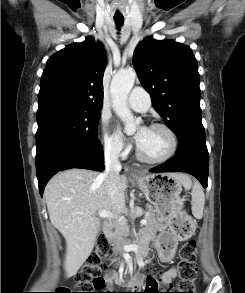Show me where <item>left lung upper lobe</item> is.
<instances>
[{
    "label": "left lung upper lobe",
    "instance_id": "5c2ea615",
    "mask_svg": "<svg viewBox=\"0 0 245 293\" xmlns=\"http://www.w3.org/2000/svg\"><path fill=\"white\" fill-rule=\"evenodd\" d=\"M133 65L154 109L178 139L205 141L198 65L191 48L148 37L137 45Z\"/></svg>",
    "mask_w": 245,
    "mask_h": 293
}]
</instances>
